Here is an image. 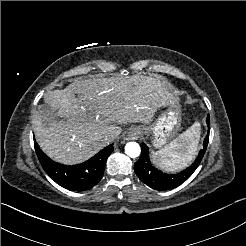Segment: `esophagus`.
Wrapping results in <instances>:
<instances>
[{
    "mask_svg": "<svg viewBox=\"0 0 246 246\" xmlns=\"http://www.w3.org/2000/svg\"><path fill=\"white\" fill-rule=\"evenodd\" d=\"M129 137H130V139H132V140H136V139H137V135H136V133L134 132V130H132V131L129 132Z\"/></svg>",
    "mask_w": 246,
    "mask_h": 246,
    "instance_id": "34e87169",
    "label": "esophagus"
}]
</instances>
